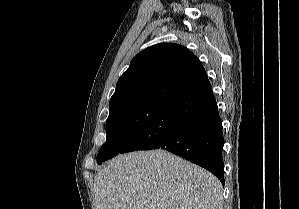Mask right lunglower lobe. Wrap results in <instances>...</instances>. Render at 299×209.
<instances>
[{"instance_id":"right-lung-lower-lobe-1","label":"right lung lower lobe","mask_w":299,"mask_h":209,"mask_svg":"<svg viewBox=\"0 0 299 209\" xmlns=\"http://www.w3.org/2000/svg\"><path fill=\"white\" fill-rule=\"evenodd\" d=\"M223 132L206 72L166 99L120 152L164 149L212 172L224 185Z\"/></svg>"}]
</instances>
